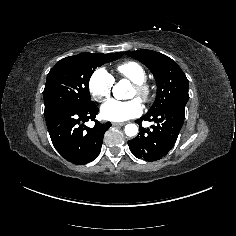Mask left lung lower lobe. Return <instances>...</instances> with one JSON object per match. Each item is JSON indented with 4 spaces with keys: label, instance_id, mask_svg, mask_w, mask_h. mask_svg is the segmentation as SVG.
<instances>
[{
    "label": "left lung lower lobe",
    "instance_id": "1",
    "mask_svg": "<svg viewBox=\"0 0 236 236\" xmlns=\"http://www.w3.org/2000/svg\"><path fill=\"white\" fill-rule=\"evenodd\" d=\"M186 102H173L167 107L145 114L136 122L140 132L128 141L129 148L136 158L157 161L164 157L175 144L184 123ZM154 122L151 130L142 127V121Z\"/></svg>",
    "mask_w": 236,
    "mask_h": 236
}]
</instances>
